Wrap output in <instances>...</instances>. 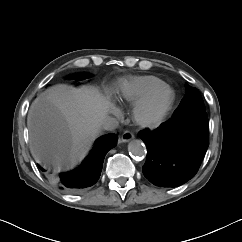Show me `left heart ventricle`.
<instances>
[{"instance_id":"b2bd125f","label":"left heart ventricle","mask_w":242,"mask_h":242,"mask_svg":"<svg viewBox=\"0 0 242 242\" xmlns=\"http://www.w3.org/2000/svg\"><path fill=\"white\" fill-rule=\"evenodd\" d=\"M156 111H157V106L151 108V109L146 113V115H147L148 117H152V116L156 113Z\"/></svg>"}]
</instances>
